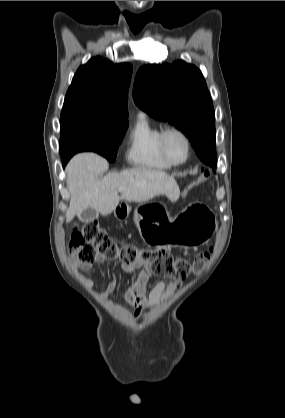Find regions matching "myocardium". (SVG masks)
I'll return each instance as SVG.
<instances>
[{
  "label": "myocardium",
  "instance_id": "myocardium-1",
  "mask_svg": "<svg viewBox=\"0 0 285 418\" xmlns=\"http://www.w3.org/2000/svg\"><path fill=\"white\" fill-rule=\"evenodd\" d=\"M171 133H176L178 134L185 142L186 145V154L183 160L181 161H174L170 158L167 150H166V145H165V140L166 137L171 134ZM157 144L159 147V150L162 154V156L164 157V159L170 164V165H181L184 164L185 162L188 161L189 157H190V153H191V141L189 136L187 135V133L185 131H183L182 129L175 127V126H169L164 128L163 130L160 131L158 138H157Z\"/></svg>",
  "mask_w": 285,
  "mask_h": 418
}]
</instances>
